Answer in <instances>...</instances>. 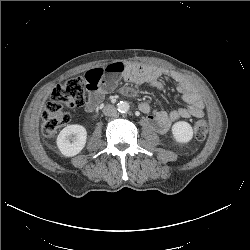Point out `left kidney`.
Listing matches in <instances>:
<instances>
[{
    "label": "left kidney",
    "mask_w": 250,
    "mask_h": 250,
    "mask_svg": "<svg viewBox=\"0 0 250 250\" xmlns=\"http://www.w3.org/2000/svg\"><path fill=\"white\" fill-rule=\"evenodd\" d=\"M172 134L176 142L188 143L193 138V129L188 122L178 121L172 126Z\"/></svg>",
    "instance_id": "5707ae66"
}]
</instances>
